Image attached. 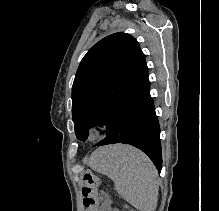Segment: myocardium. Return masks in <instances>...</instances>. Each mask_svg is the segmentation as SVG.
Returning a JSON list of instances; mask_svg holds the SVG:
<instances>
[{
	"mask_svg": "<svg viewBox=\"0 0 219 211\" xmlns=\"http://www.w3.org/2000/svg\"><path fill=\"white\" fill-rule=\"evenodd\" d=\"M97 137V134L96 133H90L89 134V139L93 140Z\"/></svg>",
	"mask_w": 219,
	"mask_h": 211,
	"instance_id": "f54148a6",
	"label": "myocardium"
}]
</instances>
